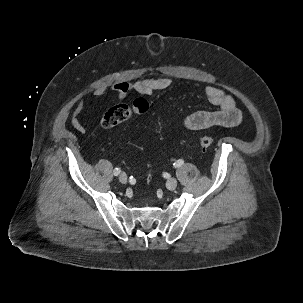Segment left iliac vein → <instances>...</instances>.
Segmentation results:
<instances>
[{"label": "left iliac vein", "instance_id": "obj_1", "mask_svg": "<svg viewBox=\"0 0 303 303\" xmlns=\"http://www.w3.org/2000/svg\"><path fill=\"white\" fill-rule=\"evenodd\" d=\"M177 179L176 178H170L167 180L166 182V187L169 189V190H174L176 187H177Z\"/></svg>", "mask_w": 303, "mask_h": 303}]
</instances>
